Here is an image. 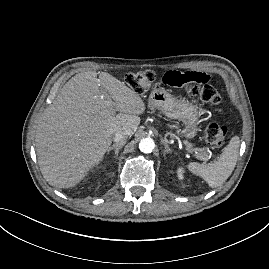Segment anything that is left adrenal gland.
<instances>
[{
    "mask_svg": "<svg viewBox=\"0 0 269 269\" xmlns=\"http://www.w3.org/2000/svg\"><path fill=\"white\" fill-rule=\"evenodd\" d=\"M162 143H163V145H164L163 156L165 157L166 154H168V153L171 152V149L169 148L168 144H167L164 140H162Z\"/></svg>",
    "mask_w": 269,
    "mask_h": 269,
    "instance_id": "obj_1",
    "label": "left adrenal gland"
}]
</instances>
